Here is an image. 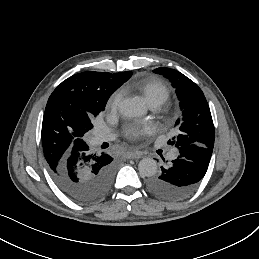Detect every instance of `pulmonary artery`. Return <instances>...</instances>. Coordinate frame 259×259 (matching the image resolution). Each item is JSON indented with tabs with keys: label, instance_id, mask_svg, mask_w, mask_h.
I'll use <instances>...</instances> for the list:
<instances>
[{
	"label": "pulmonary artery",
	"instance_id": "obj_1",
	"mask_svg": "<svg viewBox=\"0 0 259 259\" xmlns=\"http://www.w3.org/2000/svg\"><path fill=\"white\" fill-rule=\"evenodd\" d=\"M150 107H151V108H156L157 106H155V105H150ZM111 138H112V136H106V137L100 136V135H96V136H95V140H96L97 142H101V141H105V140H110ZM176 156H177V152H176V151H172V152H169V153L167 154V159H168L169 161H172V160H174V159L176 158Z\"/></svg>",
	"mask_w": 259,
	"mask_h": 259
}]
</instances>
